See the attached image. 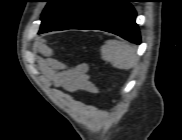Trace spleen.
Instances as JSON below:
<instances>
[{"label": "spleen", "mask_w": 182, "mask_h": 140, "mask_svg": "<svg viewBox=\"0 0 182 140\" xmlns=\"http://www.w3.org/2000/svg\"><path fill=\"white\" fill-rule=\"evenodd\" d=\"M101 53L104 60L109 61L113 67L118 69H130L138 62L136 50L123 41H106L101 48Z\"/></svg>", "instance_id": "3e777b00"}]
</instances>
